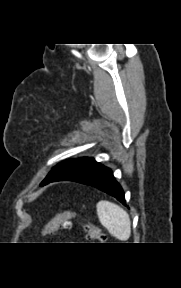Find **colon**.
I'll return each instance as SVG.
<instances>
[{"mask_svg":"<svg viewBox=\"0 0 181 288\" xmlns=\"http://www.w3.org/2000/svg\"><path fill=\"white\" fill-rule=\"evenodd\" d=\"M77 218V215L75 212L70 210H65L57 215H55L43 228L42 233L43 234H50L60 229L69 230L72 227V221ZM83 229L87 233V237L90 240L104 242L105 241V235L102 232L101 229H99L94 224L83 220L82 221Z\"/></svg>","mask_w":181,"mask_h":288,"instance_id":"colon-1","label":"colon"}]
</instances>
